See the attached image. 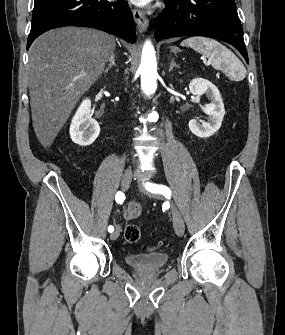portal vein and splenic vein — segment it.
Returning a JSON list of instances; mask_svg holds the SVG:
<instances>
[{
    "label": "portal vein and splenic vein",
    "instance_id": "portal-vein-and-splenic-vein-1",
    "mask_svg": "<svg viewBox=\"0 0 285 335\" xmlns=\"http://www.w3.org/2000/svg\"><path fill=\"white\" fill-rule=\"evenodd\" d=\"M80 78H84V76H80Z\"/></svg>",
    "mask_w": 285,
    "mask_h": 335
}]
</instances>
